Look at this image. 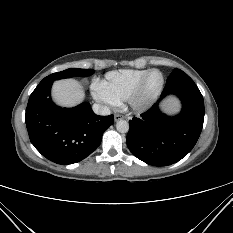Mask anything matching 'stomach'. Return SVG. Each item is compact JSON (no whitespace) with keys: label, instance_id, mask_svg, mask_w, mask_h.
<instances>
[{"label":"stomach","instance_id":"0dacf381","mask_svg":"<svg viewBox=\"0 0 233 233\" xmlns=\"http://www.w3.org/2000/svg\"><path fill=\"white\" fill-rule=\"evenodd\" d=\"M171 108V105L168 106V109Z\"/></svg>","mask_w":233,"mask_h":233}]
</instances>
